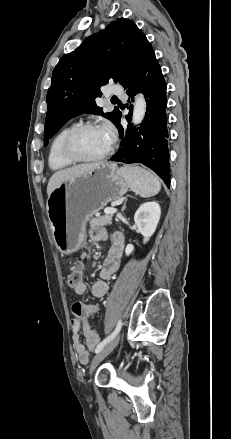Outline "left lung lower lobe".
<instances>
[{
    "label": "left lung lower lobe",
    "mask_w": 231,
    "mask_h": 439,
    "mask_svg": "<svg viewBox=\"0 0 231 439\" xmlns=\"http://www.w3.org/2000/svg\"><path fill=\"white\" fill-rule=\"evenodd\" d=\"M123 86L131 100L137 92L142 91L147 102V112L138 129L131 124L124 129L120 124V112L115 125L119 129L122 142L111 160L126 164L142 163L155 171L169 187L166 84L152 46L145 51ZM131 115L129 113L126 116L128 122L131 121Z\"/></svg>",
    "instance_id": "left-lung-lower-lobe-1"
}]
</instances>
